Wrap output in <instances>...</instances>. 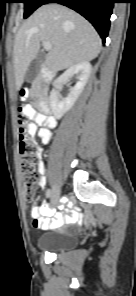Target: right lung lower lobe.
Instances as JSON below:
<instances>
[{"instance_id":"obj_1","label":"right lung lower lobe","mask_w":136,"mask_h":296,"mask_svg":"<svg viewBox=\"0 0 136 296\" xmlns=\"http://www.w3.org/2000/svg\"><path fill=\"white\" fill-rule=\"evenodd\" d=\"M116 0H45L46 3L65 5L84 16L105 42L110 27V16Z\"/></svg>"}]
</instances>
